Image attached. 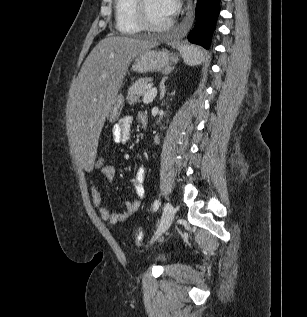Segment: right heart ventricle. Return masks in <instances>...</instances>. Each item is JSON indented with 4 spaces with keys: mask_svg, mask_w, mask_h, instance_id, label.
I'll return each mask as SVG.
<instances>
[{
    "mask_svg": "<svg viewBox=\"0 0 307 317\" xmlns=\"http://www.w3.org/2000/svg\"><path fill=\"white\" fill-rule=\"evenodd\" d=\"M115 27L121 34H135L142 30L136 11L135 0H114Z\"/></svg>",
    "mask_w": 307,
    "mask_h": 317,
    "instance_id": "1",
    "label": "right heart ventricle"
}]
</instances>
